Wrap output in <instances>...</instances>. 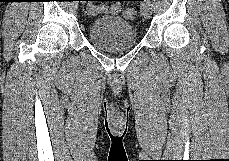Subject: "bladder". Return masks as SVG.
<instances>
[{"mask_svg":"<svg viewBox=\"0 0 229 161\" xmlns=\"http://www.w3.org/2000/svg\"><path fill=\"white\" fill-rule=\"evenodd\" d=\"M88 37L94 46L108 51L129 49L137 43L135 27L117 16L100 17L93 21Z\"/></svg>","mask_w":229,"mask_h":161,"instance_id":"31cf9c89","label":"bladder"}]
</instances>
